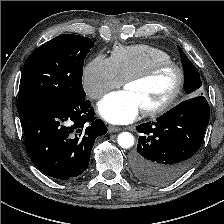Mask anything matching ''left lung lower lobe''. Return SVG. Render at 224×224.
<instances>
[{"label": "left lung lower lobe", "mask_w": 224, "mask_h": 224, "mask_svg": "<svg viewBox=\"0 0 224 224\" xmlns=\"http://www.w3.org/2000/svg\"><path fill=\"white\" fill-rule=\"evenodd\" d=\"M210 107L203 96L179 104L154 122L138 125L141 133L132 158L134 175L150 185H167L191 165L209 123Z\"/></svg>", "instance_id": "1"}]
</instances>
